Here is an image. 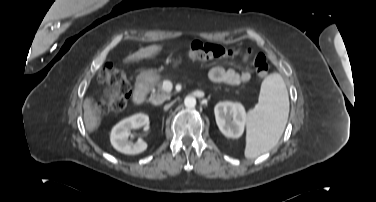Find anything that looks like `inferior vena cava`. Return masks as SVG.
<instances>
[{"instance_id": "602c4592", "label": "inferior vena cava", "mask_w": 376, "mask_h": 202, "mask_svg": "<svg viewBox=\"0 0 376 202\" xmlns=\"http://www.w3.org/2000/svg\"><path fill=\"white\" fill-rule=\"evenodd\" d=\"M169 106H165L164 108L166 109V108H168Z\"/></svg>"}]
</instances>
